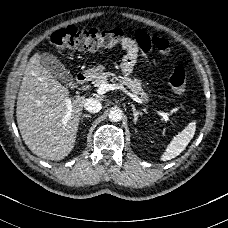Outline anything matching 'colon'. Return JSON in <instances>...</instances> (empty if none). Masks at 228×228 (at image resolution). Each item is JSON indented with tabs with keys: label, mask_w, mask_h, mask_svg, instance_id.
<instances>
[{
	"label": "colon",
	"mask_w": 228,
	"mask_h": 228,
	"mask_svg": "<svg viewBox=\"0 0 228 228\" xmlns=\"http://www.w3.org/2000/svg\"><path fill=\"white\" fill-rule=\"evenodd\" d=\"M130 38V33L124 29L111 31L68 27L55 31L49 39L50 44L56 47L87 50L91 53L107 47L112 49L116 44ZM153 45L163 53L168 49V41L162 38H153ZM170 84L177 95H183L186 90L185 72L181 67H174L170 74Z\"/></svg>",
	"instance_id": "obj_1"
}]
</instances>
